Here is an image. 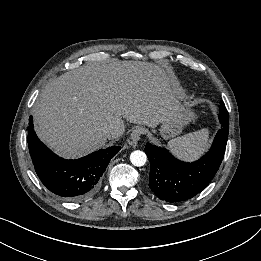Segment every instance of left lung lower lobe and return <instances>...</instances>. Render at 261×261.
Segmentation results:
<instances>
[{
    "mask_svg": "<svg viewBox=\"0 0 261 261\" xmlns=\"http://www.w3.org/2000/svg\"><path fill=\"white\" fill-rule=\"evenodd\" d=\"M221 129L209 151L199 160L186 163L176 159L167 149L150 143L145 153L150 161L149 187L161 200L176 203L191 199L212 180L223 160L229 132L226 110H220Z\"/></svg>",
    "mask_w": 261,
    "mask_h": 261,
    "instance_id": "obj_1",
    "label": "left lung lower lobe"
}]
</instances>
